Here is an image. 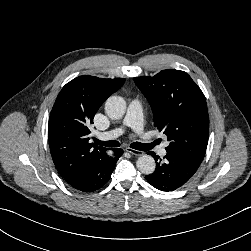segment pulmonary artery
Wrapping results in <instances>:
<instances>
[{"label": "pulmonary artery", "instance_id": "e3ab8cb5", "mask_svg": "<svg viewBox=\"0 0 251 251\" xmlns=\"http://www.w3.org/2000/svg\"><path fill=\"white\" fill-rule=\"evenodd\" d=\"M130 127L138 135L143 134V115H142V104L138 99H134L130 102L126 115L124 116L122 123L119 127L108 132L106 138H116L121 136L125 129ZM157 145V144H156ZM155 145V146H156ZM159 155H166V144L157 147Z\"/></svg>", "mask_w": 251, "mask_h": 251}]
</instances>
